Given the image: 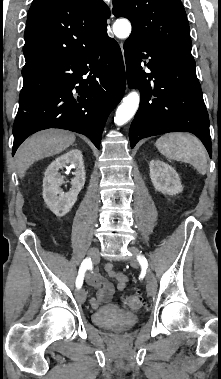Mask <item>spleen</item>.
<instances>
[{"mask_svg": "<svg viewBox=\"0 0 221 379\" xmlns=\"http://www.w3.org/2000/svg\"><path fill=\"white\" fill-rule=\"evenodd\" d=\"M165 157L191 164L200 174L207 169V153L199 139L183 133H169L161 136L155 143Z\"/></svg>", "mask_w": 221, "mask_h": 379, "instance_id": "obj_1", "label": "spleen"}]
</instances>
